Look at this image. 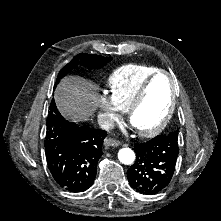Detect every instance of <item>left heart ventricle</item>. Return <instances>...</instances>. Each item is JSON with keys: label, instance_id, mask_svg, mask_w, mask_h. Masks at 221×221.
Listing matches in <instances>:
<instances>
[{"label": "left heart ventricle", "instance_id": "1", "mask_svg": "<svg viewBox=\"0 0 221 221\" xmlns=\"http://www.w3.org/2000/svg\"><path fill=\"white\" fill-rule=\"evenodd\" d=\"M171 100V83L167 76H158L149 88L143 104L136 110L132 124L136 129L156 127L165 117Z\"/></svg>", "mask_w": 221, "mask_h": 221}]
</instances>
